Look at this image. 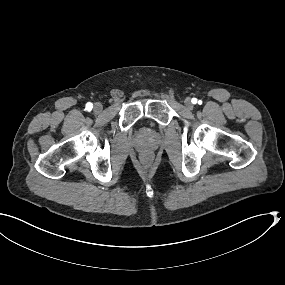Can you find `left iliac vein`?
I'll return each mask as SVG.
<instances>
[{"mask_svg": "<svg viewBox=\"0 0 285 285\" xmlns=\"http://www.w3.org/2000/svg\"><path fill=\"white\" fill-rule=\"evenodd\" d=\"M184 104H185V107L189 110H192L193 109V104H192V101L189 97H187L184 101Z\"/></svg>", "mask_w": 285, "mask_h": 285, "instance_id": "left-iliac-vein-1", "label": "left iliac vein"}]
</instances>
